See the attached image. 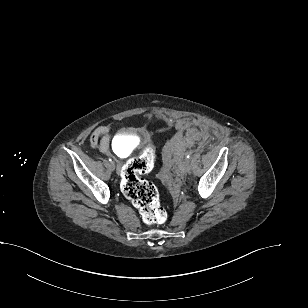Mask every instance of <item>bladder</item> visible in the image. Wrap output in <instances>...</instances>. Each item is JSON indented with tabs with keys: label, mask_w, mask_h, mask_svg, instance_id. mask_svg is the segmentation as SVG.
I'll return each mask as SVG.
<instances>
[{
	"label": "bladder",
	"mask_w": 308,
	"mask_h": 308,
	"mask_svg": "<svg viewBox=\"0 0 308 308\" xmlns=\"http://www.w3.org/2000/svg\"><path fill=\"white\" fill-rule=\"evenodd\" d=\"M136 145V139L130 131H120L113 139V149L120 157L128 155Z\"/></svg>",
	"instance_id": "bladder-1"
}]
</instances>
